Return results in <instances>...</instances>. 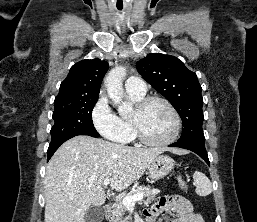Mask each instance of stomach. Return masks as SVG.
<instances>
[{
    "label": "stomach",
    "instance_id": "0dacf381",
    "mask_svg": "<svg viewBox=\"0 0 257 222\" xmlns=\"http://www.w3.org/2000/svg\"><path fill=\"white\" fill-rule=\"evenodd\" d=\"M174 160L167 155H158L149 165V177L157 181L168 175L174 168Z\"/></svg>",
    "mask_w": 257,
    "mask_h": 222
}]
</instances>
